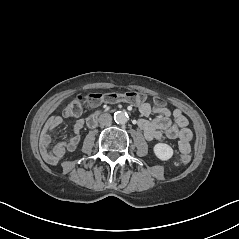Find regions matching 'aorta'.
I'll list each match as a JSON object with an SVG mask.
<instances>
[{"instance_id": "1", "label": "aorta", "mask_w": 239, "mask_h": 239, "mask_svg": "<svg viewBox=\"0 0 239 239\" xmlns=\"http://www.w3.org/2000/svg\"><path fill=\"white\" fill-rule=\"evenodd\" d=\"M129 119L127 112L117 111L114 113V120L117 124H125Z\"/></svg>"}]
</instances>
